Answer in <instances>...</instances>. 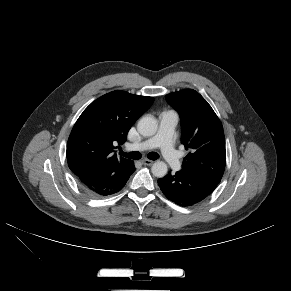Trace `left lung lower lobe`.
<instances>
[{
	"label": "left lung lower lobe",
	"mask_w": 291,
	"mask_h": 291,
	"mask_svg": "<svg viewBox=\"0 0 291 291\" xmlns=\"http://www.w3.org/2000/svg\"><path fill=\"white\" fill-rule=\"evenodd\" d=\"M163 194L180 206H190L209 196L218 183L203 176L181 169L158 179Z\"/></svg>",
	"instance_id": "left-lung-lower-lobe-1"
}]
</instances>
